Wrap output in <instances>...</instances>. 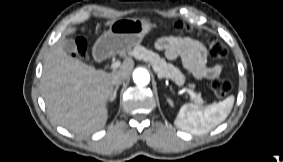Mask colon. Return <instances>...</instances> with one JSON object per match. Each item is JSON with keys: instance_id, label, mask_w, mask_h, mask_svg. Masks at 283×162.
I'll return each instance as SVG.
<instances>
[{"instance_id": "5ec220e1", "label": "colon", "mask_w": 283, "mask_h": 162, "mask_svg": "<svg viewBox=\"0 0 283 162\" xmlns=\"http://www.w3.org/2000/svg\"><path fill=\"white\" fill-rule=\"evenodd\" d=\"M172 29L178 33L190 32V28L182 21H176L172 24ZM210 55L215 59H223L227 56V48L216 37H209L208 40ZM75 56L84 60L87 58V45L84 41L76 43ZM232 83L228 79H216L212 82V90L216 98H225L232 91Z\"/></svg>"}]
</instances>
